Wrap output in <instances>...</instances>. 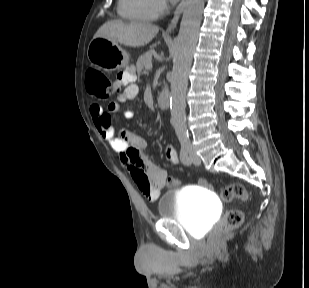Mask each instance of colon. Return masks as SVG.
<instances>
[{"instance_id": "colon-1", "label": "colon", "mask_w": 309, "mask_h": 288, "mask_svg": "<svg viewBox=\"0 0 309 288\" xmlns=\"http://www.w3.org/2000/svg\"><path fill=\"white\" fill-rule=\"evenodd\" d=\"M120 88V85L117 83L112 84L105 74L96 69H90L86 74V89L95 97L108 98L115 91H119ZM166 184L169 187H175L179 184V180L175 177H169L166 180ZM200 185L206 187L208 183L205 179H201ZM220 198L224 202H231L235 199L246 201L248 199V193L241 183H232L221 187ZM243 220L244 215L242 211L238 209L227 211L218 228L217 235H222L231 229L239 227L243 223Z\"/></svg>"}]
</instances>
